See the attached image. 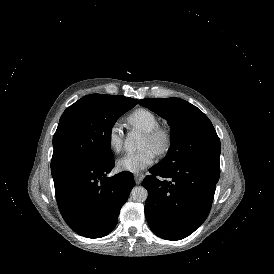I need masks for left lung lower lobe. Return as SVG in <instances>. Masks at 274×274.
Instances as JSON below:
<instances>
[{"label": "left lung lower lobe", "instance_id": "1", "mask_svg": "<svg viewBox=\"0 0 274 274\" xmlns=\"http://www.w3.org/2000/svg\"><path fill=\"white\" fill-rule=\"evenodd\" d=\"M149 172L142 185L148 190L145 217L150 229L166 240L189 236L210 212L219 162L194 160L172 167L158 163Z\"/></svg>", "mask_w": 274, "mask_h": 274}]
</instances>
